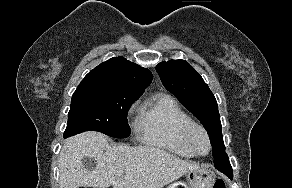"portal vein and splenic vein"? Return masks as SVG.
<instances>
[{
    "label": "portal vein and splenic vein",
    "instance_id": "1",
    "mask_svg": "<svg viewBox=\"0 0 292 188\" xmlns=\"http://www.w3.org/2000/svg\"><path fill=\"white\" fill-rule=\"evenodd\" d=\"M118 175H122L123 174V171H119L117 172Z\"/></svg>",
    "mask_w": 292,
    "mask_h": 188
}]
</instances>
